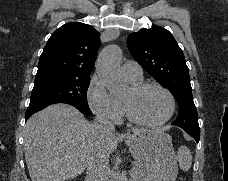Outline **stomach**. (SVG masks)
I'll return each instance as SVG.
<instances>
[{
  "mask_svg": "<svg viewBox=\"0 0 228 181\" xmlns=\"http://www.w3.org/2000/svg\"><path fill=\"white\" fill-rule=\"evenodd\" d=\"M126 143L141 173L140 181H176L178 165L170 135L163 131L128 133Z\"/></svg>",
  "mask_w": 228,
  "mask_h": 181,
  "instance_id": "1",
  "label": "stomach"
}]
</instances>
